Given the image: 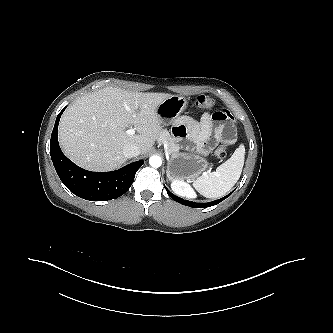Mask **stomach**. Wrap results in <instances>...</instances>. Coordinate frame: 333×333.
<instances>
[{"mask_svg":"<svg viewBox=\"0 0 333 333\" xmlns=\"http://www.w3.org/2000/svg\"><path fill=\"white\" fill-rule=\"evenodd\" d=\"M187 107V100L181 95H171L166 98L156 109L161 123H173L181 112ZM208 162L203 156L193 152L178 153L171 156L168 161V171L173 178L185 179L196 178L206 170Z\"/></svg>","mask_w":333,"mask_h":333,"instance_id":"stomach-1","label":"stomach"}]
</instances>
